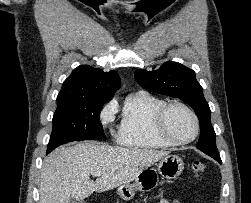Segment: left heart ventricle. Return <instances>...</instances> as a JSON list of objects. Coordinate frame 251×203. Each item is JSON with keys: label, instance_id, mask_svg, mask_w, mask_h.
Masks as SVG:
<instances>
[{"label": "left heart ventricle", "instance_id": "1", "mask_svg": "<svg viewBox=\"0 0 251 203\" xmlns=\"http://www.w3.org/2000/svg\"><path fill=\"white\" fill-rule=\"evenodd\" d=\"M166 131L176 139H187L194 132V121L190 114L181 107H173L169 110L166 123Z\"/></svg>", "mask_w": 251, "mask_h": 203}]
</instances>
